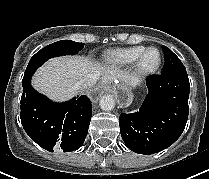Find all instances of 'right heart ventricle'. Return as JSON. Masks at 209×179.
<instances>
[{"label":"right heart ventricle","mask_w":209,"mask_h":179,"mask_svg":"<svg viewBox=\"0 0 209 179\" xmlns=\"http://www.w3.org/2000/svg\"><path fill=\"white\" fill-rule=\"evenodd\" d=\"M144 49L145 46L142 45L115 48L105 52L103 61L105 64L116 68L128 67L135 62Z\"/></svg>","instance_id":"right-heart-ventricle-1"}]
</instances>
